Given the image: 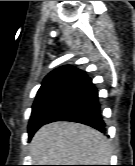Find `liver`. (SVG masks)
<instances>
[{"label": "liver", "mask_w": 135, "mask_h": 166, "mask_svg": "<svg viewBox=\"0 0 135 166\" xmlns=\"http://www.w3.org/2000/svg\"><path fill=\"white\" fill-rule=\"evenodd\" d=\"M29 150L35 165H107L111 157L110 143L102 133L73 122L42 126Z\"/></svg>", "instance_id": "6515ba94"}]
</instances>
